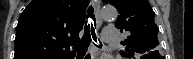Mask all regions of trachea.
Here are the masks:
<instances>
[{"instance_id": "3493384b", "label": "trachea", "mask_w": 193, "mask_h": 59, "mask_svg": "<svg viewBox=\"0 0 193 59\" xmlns=\"http://www.w3.org/2000/svg\"><path fill=\"white\" fill-rule=\"evenodd\" d=\"M88 16L93 20L94 25L96 27V20H95V16H94V9L92 6H90L88 8ZM97 41L96 38V33H95V29L93 26V23L91 22V24L87 25V22L85 24V32H84V36L82 37L81 41L79 42V44L77 46L74 47V49L77 52V55H84L87 52V48L91 42V40ZM100 46H102V44L100 43Z\"/></svg>"}]
</instances>
